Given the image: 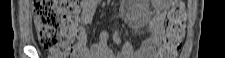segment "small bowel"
<instances>
[{
    "instance_id": "obj_1",
    "label": "small bowel",
    "mask_w": 225,
    "mask_h": 58,
    "mask_svg": "<svg viewBox=\"0 0 225 58\" xmlns=\"http://www.w3.org/2000/svg\"><path fill=\"white\" fill-rule=\"evenodd\" d=\"M99 3V0H88L81 3V21L75 44L77 58H143L153 57L156 54L163 34L165 15L171 4L170 0H157L152 3L154 15L148 22L149 36L138 51L134 50L130 42L121 40L119 27H117L112 36L114 44L119 47L117 52L107 45L108 34L106 31L100 32L97 41L89 48L86 46L87 27L92 23ZM124 4L129 6L131 2Z\"/></svg>"
}]
</instances>
